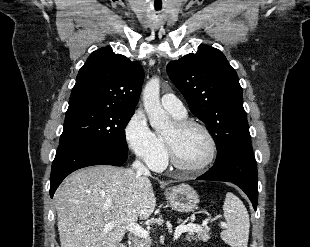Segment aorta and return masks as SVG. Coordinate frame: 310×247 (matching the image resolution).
I'll use <instances>...</instances> for the list:
<instances>
[{
  "mask_svg": "<svg viewBox=\"0 0 310 247\" xmlns=\"http://www.w3.org/2000/svg\"><path fill=\"white\" fill-rule=\"evenodd\" d=\"M143 104L150 125L158 132L165 131L170 126V119L160 103V79L153 77L143 90Z\"/></svg>",
  "mask_w": 310,
  "mask_h": 247,
  "instance_id": "obj_1",
  "label": "aorta"
}]
</instances>
